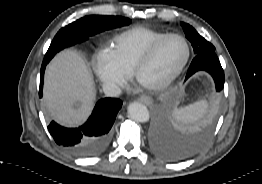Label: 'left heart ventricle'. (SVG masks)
Wrapping results in <instances>:
<instances>
[{
	"mask_svg": "<svg viewBox=\"0 0 262 184\" xmlns=\"http://www.w3.org/2000/svg\"><path fill=\"white\" fill-rule=\"evenodd\" d=\"M186 47L179 38L165 40L156 51L151 63L141 72L144 83H159L168 78L182 63Z\"/></svg>",
	"mask_w": 262,
	"mask_h": 184,
	"instance_id": "b2bd125f",
	"label": "left heart ventricle"
}]
</instances>
